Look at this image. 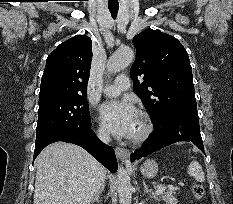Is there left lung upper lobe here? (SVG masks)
I'll list each match as a JSON object with an SVG mask.
<instances>
[{"mask_svg": "<svg viewBox=\"0 0 233 204\" xmlns=\"http://www.w3.org/2000/svg\"><path fill=\"white\" fill-rule=\"evenodd\" d=\"M133 45V88L152 121L170 115L198 117L192 68L182 44L159 30L146 29L133 38Z\"/></svg>", "mask_w": 233, "mask_h": 204, "instance_id": "obj_1", "label": "left lung upper lobe"}]
</instances>
